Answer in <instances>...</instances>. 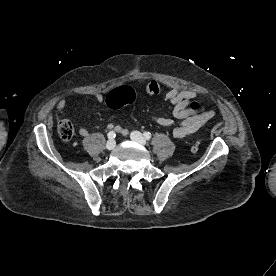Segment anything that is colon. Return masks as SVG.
<instances>
[{"label":"colon","instance_id":"1","mask_svg":"<svg viewBox=\"0 0 276 276\" xmlns=\"http://www.w3.org/2000/svg\"><path fill=\"white\" fill-rule=\"evenodd\" d=\"M153 91H155L153 88L148 89V92L150 93ZM135 97H136V92L134 91V89H132L131 87H123L121 89H117L109 92L106 98V102L110 107L116 108L124 104L133 102ZM190 105H191V108L194 110L200 109V105L196 101H192ZM57 130H58V134L64 141H70L75 134V129L72 123L67 119H63V118H60L58 120ZM199 147H200L199 142H194L191 144L190 150L191 152L195 153L199 150Z\"/></svg>","mask_w":276,"mask_h":276}]
</instances>
